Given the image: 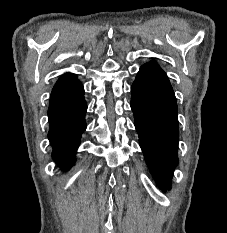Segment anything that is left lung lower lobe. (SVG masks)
<instances>
[{
  "instance_id": "obj_1",
  "label": "left lung lower lobe",
  "mask_w": 227,
  "mask_h": 233,
  "mask_svg": "<svg viewBox=\"0 0 227 233\" xmlns=\"http://www.w3.org/2000/svg\"><path fill=\"white\" fill-rule=\"evenodd\" d=\"M131 93V109L146 163L161 189L169 190L178 164V108L174 91L162 69L143 65Z\"/></svg>"
}]
</instances>
